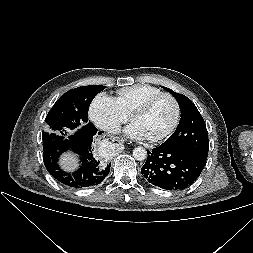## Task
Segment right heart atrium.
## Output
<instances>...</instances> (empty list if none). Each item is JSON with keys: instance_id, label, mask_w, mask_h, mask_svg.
Segmentation results:
<instances>
[{"instance_id": "right-heart-atrium-1", "label": "right heart atrium", "mask_w": 253, "mask_h": 253, "mask_svg": "<svg viewBox=\"0 0 253 253\" xmlns=\"http://www.w3.org/2000/svg\"><path fill=\"white\" fill-rule=\"evenodd\" d=\"M89 116L93 123L101 130L115 134L123 123L128 120L117 105L114 98L105 93L97 94L89 108Z\"/></svg>"}]
</instances>
